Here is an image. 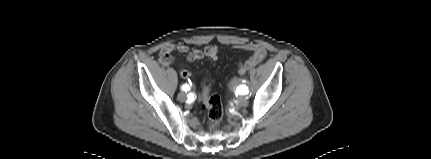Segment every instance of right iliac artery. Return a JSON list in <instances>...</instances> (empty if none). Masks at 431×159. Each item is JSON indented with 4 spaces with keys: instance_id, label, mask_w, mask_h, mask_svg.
I'll use <instances>...</instances> for the list:
<instances>
[{
    "instance_id": "right-iliac-artery-1",
    "label": "right iliac artery",
    "mask_w": 431,
    "mask_h": 159,
    "mask_svg": "<svg viewBox=\"0 0 431 159\" xmlns=\"http://www.w3.org/2000/svg\"><path fill=\"white\" fill-rule=\"evenodd\" d=\"M181 89H182L183 91L187 92V91H189V90H190V86H189L188 84H184V85H182V86H181Z\"/></svg>"
}]
</instances>
